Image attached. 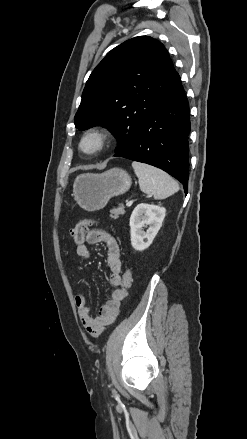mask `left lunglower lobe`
Masks as SVG:
<instances>
[{
    "label": "left lung lower lobe",
    "mask_w": 247,
    "mask_h": 439,
    "mask_svg": "<svg viewBox=\"0 0 247 439\" xmlns=\"http://www.w3.org/2000/svg\"><path fill=\"white\" fill-rule=\"evenodd\" d=\"M181 81L158 102L139 125L132 143L115 156L158 167L188 191L190 132L189 106Z\"/></svg>",
    "instance_id": "0a47b994"
}]
</instances>
